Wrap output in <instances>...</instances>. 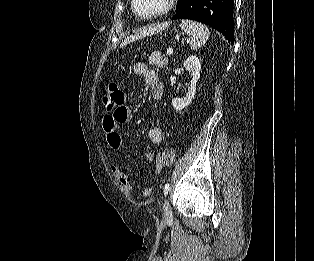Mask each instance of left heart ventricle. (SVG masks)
<instances>
[{"label": "left heart ventricle", "mask_w": 314, "mask_h": 261, "mask_svg": "<svg viewBox=\"0 0 314 261\" xmlns=\"http://www.w3.org/2000/svg\"><path fill=\"white\" fill-rule=\"evenodd\" d=\"M167 0H136V8L142 14H151L161 10Z\"/></svg>", "instance_id": "left-heart-ventricle-1"}]
</instances>
